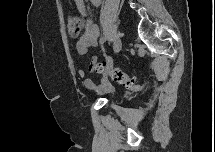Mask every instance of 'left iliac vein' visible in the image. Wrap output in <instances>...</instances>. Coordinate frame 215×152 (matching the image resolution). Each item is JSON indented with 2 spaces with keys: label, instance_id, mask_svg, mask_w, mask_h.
Returning a JSON list of instances; mask_svg holds the SVG:
<instances>
[{
  "label": "left iliac vein",
  "instance_id": "obj_1",
  "mask_svg": "<svg viewBox=\"0 0 215 152\" xmlns=\"http://www.w3.org/2000/svg\"><path fill=\"white\" fill-rule=\"evenodd\" d=\"M122 48V42L119 37H117L114 41V52L118 53Z\"/></svg>",
  "mask_w": 215,
  "mask_h": 152
}]
</instances>
